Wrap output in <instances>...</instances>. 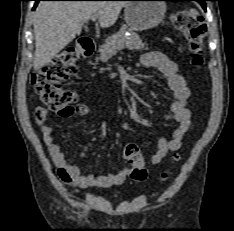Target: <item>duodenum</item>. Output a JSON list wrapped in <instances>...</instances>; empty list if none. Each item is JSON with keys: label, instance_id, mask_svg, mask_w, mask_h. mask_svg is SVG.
Returning <instances> with one entry per match:
<instances>
[{"label": "duodenum", "instance_id": "1", "mask_svg": "<svg viewBox=\"0 0 234 231\" xmlns=\"http://www.w3.org/2000/svg\"><path fill=\"white\" fill-rule=\"evenodd\" d=\"M95 43L90 38H82L78 41V49L84 57H90L95 51Z\"/></svg>", "mask_w": 234, "mask_h": 231}]
</instances>
